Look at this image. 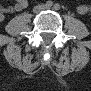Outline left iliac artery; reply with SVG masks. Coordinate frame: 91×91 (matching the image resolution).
<instances>
[{
    "label": "left iliac artery",
    "instance_id": "obj_1",
    "mask_svg": "<svg viewBox=\"0 0 91 91\" xmlns=\"http://www.w3.org/2000/svg\"><path fill=\"white\" fill-rule=\"evenodd\" d=\"M59 8H60V7H59L58 4H55V5H54V9H55V10H58Z\"/></svg>",
    "mask_w": 91,
    "mask_h": 91
}]
</instances>
